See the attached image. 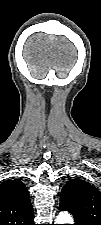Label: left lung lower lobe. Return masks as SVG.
I'll return each instance as SVG.
<instances>
[{
    "label": "left lung lower lobe",
    "instance_id": "0a47b994",
    "mask_svg": "<svg viewBox=\"0 0 101 225\" xmlns=\"http://www.w3.org/2000/svg\"><path fill=\"white\" fill-rule=\"evenodd\" d=\"M74 225H87V224L78 222V223H75Z\"/></svg>",
    "mask_w": 101,
    "mask_h": 225
}]
</instances>
